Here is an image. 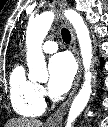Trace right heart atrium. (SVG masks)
<instances>
[{"label": "right heart atrium", "mask_w": 108, "mask_h": 127, "mask_svg": "<svg viewBox=\"0 0 108 127\" xmlns=\"http://www.w3.org/2000/svg\"><path fill=\"white\" fill-rule=\"evenodd\" d=\"M39 95L43 98L46 95V92L42 86H38Z\"/></svg>", "instance_id": "right-heart-atrium-1"}]
</instances>
